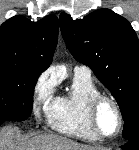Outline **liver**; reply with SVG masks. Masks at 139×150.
Segmentation results:
<instances>
[{
	"mask_svg": "<svg viewBox=\"0 0 139 150\" xmlns=\"http://www.w3.org/2000/svg\"><path fill=\"white\" fill-rule=\"evenodd\" d=\"M18 129L5 127L0 132V150H98L58 135H41L19 141Z\"/></svg>",
	"mask_w": 139,
	"mask_h": 150,
	"instance_id": "1",
	"label": "liver"
}]
</instances>
